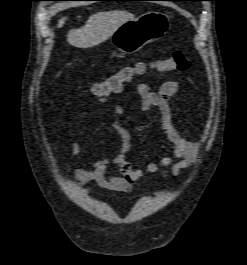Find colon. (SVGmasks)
I'll return each instance as SVG.
<instances>
[{
	"label": "colon",
	"instance_id": "colon-1",
	"mask_svg": "<svg viewBox=\"0 0 247 265\" xmlns=\"http://www.w3.org/2000/svg\"><path fill=\"white\" fill-rule=\"evenodd\" d=\"M190 65L188 56L183 51L177 50L169 57L154 62L152 67L159 72L166 73L172 70L185 71ZM146 70L147 66L142 62L125 65L106 79L89 86L86 93L94 101L105 104L109 102L112 94L121 92L126 83L131 82L137 76L143 75Z\"/></svg>",
	"mask_w": 247,
	"mask_h": 265
}]
</instances>
